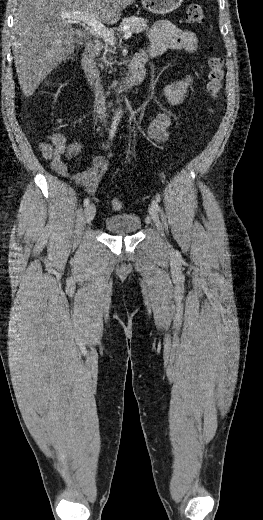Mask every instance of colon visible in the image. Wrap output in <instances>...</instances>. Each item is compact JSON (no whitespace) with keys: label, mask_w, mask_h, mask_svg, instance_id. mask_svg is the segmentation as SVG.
<instances>
[{"label":"colon","mask_w":263,"mask_h":520,"mask_svg":"<svg viewBox=\"0 0 263 520\" xmlns=\"http://www.w3.org/2000/svg\"><path fill=\"white\" fill-rule=\"evenodd\" d=\"M186 21L189 24L202 25L206 22V17L202 7L197 3H192L188 6ZM224 61L221 56L211 55L207 60L208 68V82L207 90L213 98H218L222 89V81L224 78ZM43 154L46 157H51L54 154V148L51 145H44L42 148ZM111 206L114 210L119 211L123 208V202L119 198H114L111 201Z\"/></svg>","instance_id":"5ec220e1"}]
</instances>
